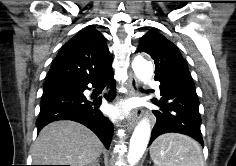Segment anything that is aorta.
I'll use <instances>...</instances> for the list:
<instances>
[{"instance_id":"aorta-1","label":"aorta","mask_w":236,"mask_h":166,"mask_svg":"<svg viewBox=\"0 0 236 166\" xmlns=\"http://www.w3.org/2000/svg\"><path fill=\"white\" fill-rule=\"evenodd\" d=\"M132 68L136 77L145 83L151 79L154 71L152 63L141 56L134 58ZM150 132L147 120H142L135 128L129 145V166H134L142 158L149 142Z\"/></svg>"}]
</instances>
